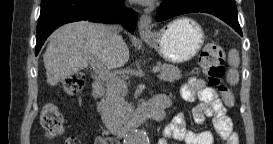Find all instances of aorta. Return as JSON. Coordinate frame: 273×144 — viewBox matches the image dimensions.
<instances>
[{"mask_svg": "<svg viewBox=\"0 0 273 144\" xmlns=\"http://www.w3.org/2000/svg\"><path fill=\"white\" fill-rule=\"evenodd\" d=\"M125 142L126 144H148L149 138L145 130L138 129L128 134Z\"/></svg>", "mask_w": 273, "mask_h": 144, "instance_id": "obj_1", "label": "aorta"}]
</instances>
